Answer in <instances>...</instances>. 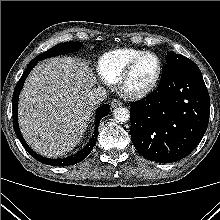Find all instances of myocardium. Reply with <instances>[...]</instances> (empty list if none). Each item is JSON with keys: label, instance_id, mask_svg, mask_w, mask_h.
Returning <instances> with one entry per match:
<instances>
[{"label": "myocardium", "instance_id": "obj_1", "mask_svg": "<svg viewBox=\"0 0 220 220\" xmlns=\"http://www.w3.org/2000/svg\"><path fill=\"white\" fill-rule=\"evenodd\" d=\"M153 56L157 60V71L155 76L153 77L152 81L146 85L144 88L141 89H130L128 87V81L138 64V62L145 56ZM162 73V61L160 57L152 51H143L142 53L138 54L136 57H134L130 63L127 65L123 73L121 74L120 78L117 81V88L120 93V95L126 99L130 100H137L141 99L145 96H147L150 92L154 90V88L157 86L158 81L160 79Z\"/></svg>", "mask_w": 220, "mask_h": 220}]
</instances>
